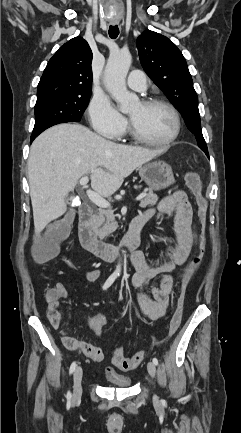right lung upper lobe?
Masks as SVG:
<instances>
[{
  "label": "right lung upper lobe",
  "mask_w": 241,
  "mask_h": 433,
  "mask_svg": "<svg viewBox=\"0 0 241 433\" xmlns=\"http://www.w3.org/2000/svg\"><path fill=\"white\" fill-rule=\"evenodd\" d=\"M92 51L87 41L75 37L49 60L37 87V99L48 96L91 95Z\"/></svg>",
  "instance_id": "right-lung-upper-lobe-1"
}]
</instances>
